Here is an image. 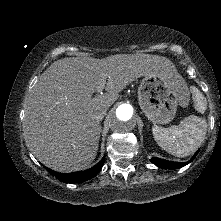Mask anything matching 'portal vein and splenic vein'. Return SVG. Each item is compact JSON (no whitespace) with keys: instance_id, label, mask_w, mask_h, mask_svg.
Masks as SVG:
<instances>
[{"instance_id":"1","label":"portal vein and splenic vein","mask_w":221,"mask_h":221,"mask_svg":"<svg viewBox=\"0 0 221 221\" xmlns=\"http://www.w3.org/2000/svg\"><path fill=\"white\" fill-rule=\"evenodd\" d=\"M104 86H105V80H103V81L99 84V86H98V88H97V92H101V91L104 89Z\"/></svg>"}]
</instances>
